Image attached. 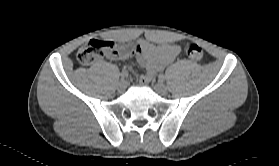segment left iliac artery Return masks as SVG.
<instances>
[{
    "label": "left iliac artery",
    "instance_id": "obj_1",
    "mask_svg": "<svg viewBox=\"0 0 279 166\" xmlns=\"http://www.w3.org/2000/svg\"><path fill=\"white\" fill-rule=\"evenodd\" d=\"M165 79H166V77L164 75L159 76V80L164 81Z\"/></svg>",
    "mask_w": 279,
    "mask_h": 166
}]
</instances>
